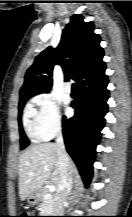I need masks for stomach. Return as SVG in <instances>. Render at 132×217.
Segmentation results:
<instances>
[{
  "label": "stomach",
  "instance_id": "stomach-1",
  "mask_svg": "<svg viewBox=\"0 0 132 217\" xmlns=\"http://www.w3.org/2000/svg\"><path fill=\"white\" fill-rule=\"evenodd\" d=\"M42 200V194H41V191H36V192H33L32 194H30L27 198V201L28 203L31 205V206H34V205H37L39 204V202Z\"/></svg>",
  "mask_w": 132,
  "mask_h": 217
}]
</instances>
